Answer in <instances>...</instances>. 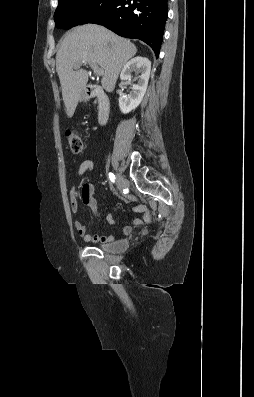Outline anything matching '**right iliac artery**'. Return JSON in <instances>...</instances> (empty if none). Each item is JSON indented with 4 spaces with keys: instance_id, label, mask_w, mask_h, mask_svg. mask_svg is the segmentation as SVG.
Returning a JSON list of instances; mask_svg holds the SVG:
<instances>
[{
    "instance_id": "1",
    "label": "right iliac artery",
    "mask_w": 254,
    "mask_h": 397,
    "mask_svg": "<svg viewBox=\"0 0 254 397\" xmlns=\"http://www.w3.org/2000/svg\"><path fill=\"white\" fill-rule=\"evenodd\" d=\"M109 179L111 182H113V183L115 182V175L111 172L109 173Z\"/></svg>"
}]
</instances>
